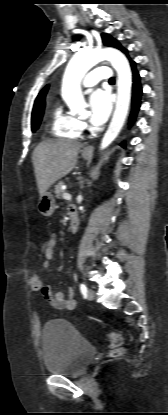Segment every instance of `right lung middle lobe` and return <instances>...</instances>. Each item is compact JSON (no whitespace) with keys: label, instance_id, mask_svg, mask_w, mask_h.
<instances>
[{"label":"right lung middle lobe","instance_id":"obj_1","mask_svg":"<svg viewBox=\"0 0 168 415\" xmlns=\"http://www.w3.org/2000/svg\"><path fill=\"white\" fill-rule=\"evenodd\" d=\"M43 111H44V108L32 113V131H35L38 129L42 116H43Z\"/></svg>","mask_w":168,"mask_h":415}]
</instances>
